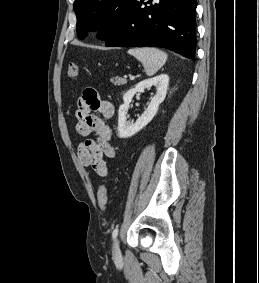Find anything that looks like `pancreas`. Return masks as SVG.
Listing matches in <instances>:
<instances>
[{
    "label": "pancreas",
    "mask_w": 259,
    "mask_h": 283,
    "mask_svg": "<svg viewBox=\"0 0 259 283\" xmlns=\"http://www.w3.org/2000/svg\"><path fill=\"white\" fill-rule=\"evenodd\" d=\"M111 82L114 84V85H125L127 83V80L125 78H121V77H113L111 78Z\"/></svg>",
    "instance_id": "pancreas-1"
}]
</instances>
